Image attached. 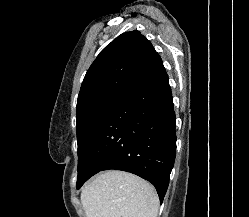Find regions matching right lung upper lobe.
Segmentation results:
<instances>
[{
  "mask_svg": "<svg viewBox=\"0 0 249 217\" xmlns=\"http://www.w3.org/2000/svg\"><path fill=\"white\" fill-rule=\"evenodd\" d=\"M159 62L160 56L139 31L121 34L99 53L88 69L77 105L105 92H127Z\"/></svg>",
  "mask_w": 249,
  "mask_h": 217,
  "instance_id": "right-lung-upper-lobe-1",
  "label": "right lung upper lobe"
}]
</instances>
